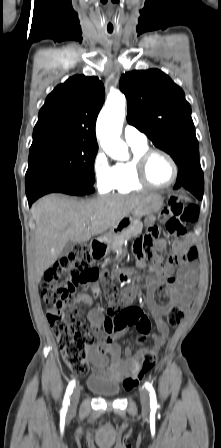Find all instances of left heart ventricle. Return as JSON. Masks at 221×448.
Listing matches in <instances>:
<instances>
[{"instance_id":"left-heart-ventricle-1","label":"left heart ventricle","mask_w":221,"mask_h":448,"mask_svg":"<svg viewBox=\"0 0 221 448\" xmlns=\"http://www.w3.org/2000/svg\"><path fill=\"white\" fill-rule=\"evenodd\" d=\"M174 171L170 162L162 155H154L148 165V176L155 184H166L173 177Z\"/></svg>"}]
</instances>
